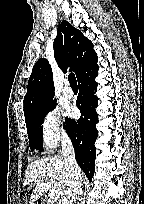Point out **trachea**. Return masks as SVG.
<instances>
[{
  "label": "trachea",
  "instance_id": "3493384b",
  "mask_svg": "<svg viewBox=\"0 0 144 204\" xmlns=\"http://www.w3.org/2000/svg\"><path fill=\"white\" fill-rule=\"evenodd\" d=\"M68 81H69L70 86L72 88H76L77 87V80H76V77H75V75L73 73H70L68 75Z\"/></svg>",
  "mask_w": 144,
  "mask_h": 204
}]
</instances>
